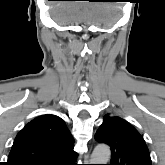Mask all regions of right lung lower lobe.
I'll list each match as a JSON object with an SVG mask.
<instances>
[{
    "label": "right lung lower lobe",
    "instance_id": "right-lung-lower-lobe-1",
    "mask_svg": "<svg viewBox=\"0 0 165 165\" xmlns=\"http://www.w3.org/2000/svg\"><path fill=\"white\" fill-rule=\"evenodd\" d=\"M76 156L77 153L68 151L52 165H77V163H75Z\"/></svg>",
    "mask_w": 165,
    "mask_h": 165
}]
</instances>
